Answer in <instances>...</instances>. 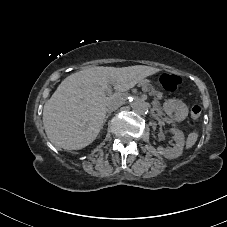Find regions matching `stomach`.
Instances as JSON below:
<instances>
[{
	"mask_svg": "<svg viewBox=\"0 0 227 227\" xmlns=\"http://www.w3.org/2000/svg\"><path fill=\"white\" fill-rule=\"evenodd\" d=\"M163 110L174 121H182L188 116L187 106L176 99L166 100L163 104Z\"/></svg>",
	"mask_w": 227,
	"mask_h": 227,
	"instance_id": "obj_1",
	"label": "stomach"
}]
</instances>
